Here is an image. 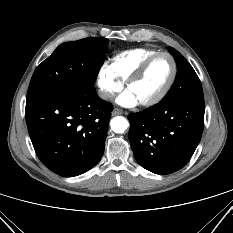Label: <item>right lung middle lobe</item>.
Here are the masks:
<instances>
[{"label": "right lung middle lobe", "instance_id": "obj_1", "mask_svg": "<svg viewBox=\"0 0 233 233\" xmlns=\"http://www.w3.org/2000/svg\"><path fill=\"white\" fill-rule=\"evenodd\" d=\"M107 49L105 38L90 37L61 44L36 68L26 103L93 86Z\"/></svg>", "mask_w": 233, "mask_h": 233}]
</instances>
